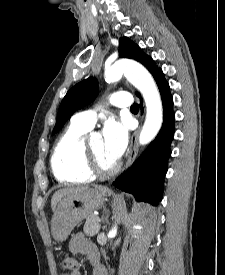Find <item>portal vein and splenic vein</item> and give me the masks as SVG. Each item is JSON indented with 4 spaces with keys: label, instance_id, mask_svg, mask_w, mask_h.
<instances>
[{
    "label": "portal vein and splenic vein",
    "instance_id": "portal-vein-and-splenic-vein-1",
    "mask_svg": "<svg viewBox=\"0 0 225 275\" xmlns=\"http://www.w3.org/2000/svg\"><path fill=\"white\" fill-rule=\"evenodd\" d=\"M97 221H98V222H100V221H101V219H100L99 217H97Z\"/></svg>",
    "mask_w": 225,
    "mask_h": 275
}]
</instances>
